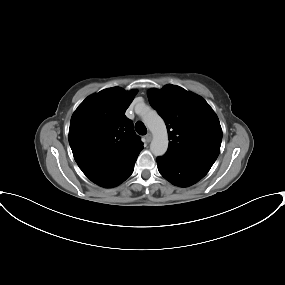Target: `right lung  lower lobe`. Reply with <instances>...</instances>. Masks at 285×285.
I'll return each instance as SVG.
<instances>
[{"mask_svg": "<svg viewBox=\"0 0 285 285\" xmlns=\"http://www.w3.org/2000/svg\"><path fill=\"white\" fill-rule=\"evenodd\" d=\"M137 157H135L128 164H126L118 173L113 175L110 179H108L105 182H102L99 185L102 187H105V188H111V187H115V186L119 185L120 183H122L123 181H125L132 174V172L134 170V164H135Z\"/></svg>", "mask_w": 285, "mask_h": 285, "instance_id": "obj_1", "label": "right lung lower lobe"}]
</instances>
